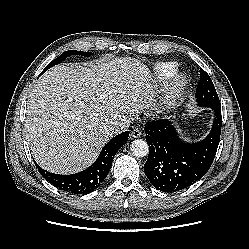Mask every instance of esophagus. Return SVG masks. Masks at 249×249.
Instances as JSON below:
<instances>
[{
  "instance_id": "34e87169",
  "label": "esophagus",
  "mask_w": 249,
  "mask_h": 249,
  "mask_svg": "<svg viewBox=\"0 0 249 249\" xmlns=\"http://www.w3.org/2000/svg\"><path fill=\"white\" fill-rule=\"evenodd\" d=\"M141 131H140V129L139 128H134V129H132V131H131V136L133 137V138H139L140 136H141Z\"/></svg>"
}]
</instances>
